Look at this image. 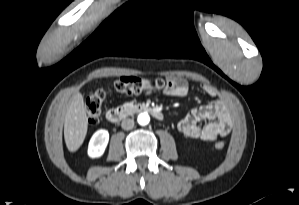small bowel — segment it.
<instances>
[{"label": "small bowel", "mask_w": 299, "mask_h": 205, "mask_svg": "<svg viewBox=\"0 0 299 205\" xmlns=\"http://www.w3.org/2000/svg\"><path fill=\"white\" fill-rule=\"evenodd\" d=\"M172 87L165 93L173 97H185L190 88L186 79L175 77L169 78ZM203 92L210 97H217V91L209 85L201 86ZM207 120L203 126L200 121ZM178 130L186 137L214 141L220 137L227 136L231 131V115L226 102L219 98L214 103L193 109L179 123Z\"/></svg>", "instance_id": "c3829d8e"}]
</instances>
